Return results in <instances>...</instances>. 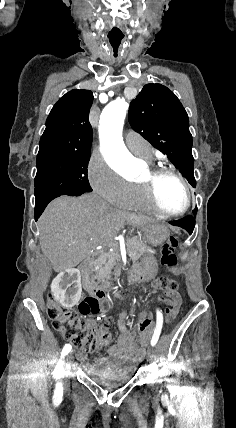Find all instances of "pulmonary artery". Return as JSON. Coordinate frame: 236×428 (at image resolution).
<instances>
[{
    "label": "pulmonary artery",
    "instance_id": "1",
    "mask_svg": "<svg viewBox=\"0 0 236 428\" xmlns=\"http://www.w3.org/2000/svg\"><path fill=\"white\" fill-rule=\"evenodd\" d=\"M128 148L137 156L146 159L151 160L152 159V149L149 145L146 146H140L135 144L134 142H128Z\"/></svg>",
    "mask_w": 236,
    "mask_h": 428
}]
</instances>
